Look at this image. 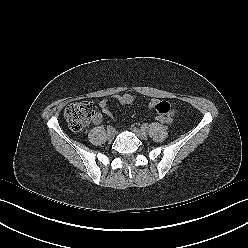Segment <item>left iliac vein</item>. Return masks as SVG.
Here are the masks:
<instances>
[{"mask_svg":"<svg viewBox=\"0 0 248 248\" xmlns=\"http://www.w3.org/2000/svg\"><path fill=\"white\" fill-rule=\"evenodd\" d=\"M132 131L139 137L140 139H146L147 138V133L139 128H133Z\"/></svg>","mask_w":248,"mask_h":248,"instance_id":"4c4485c4","label":"left iliac vein"}]
</instances>
